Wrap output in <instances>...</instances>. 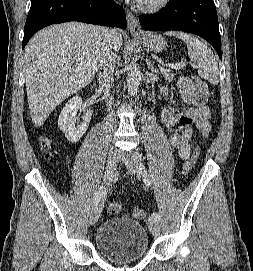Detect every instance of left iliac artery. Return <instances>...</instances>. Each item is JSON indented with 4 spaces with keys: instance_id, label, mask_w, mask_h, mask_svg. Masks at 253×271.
<instances>
[{
    "instance_id": "left-iliac-artery-1",
    "label": "left iliac artery",
    "mask_w": 253,
    "mask_h": 271,
    "mask_svg": "<svg viewBox=\"0 0 253 271\" xmlns=\"http://www.w3.org/2000/svg\"><path fill=\"white\" fill-rule=\"evenodd\" d=\"M139 172L142 174L143 181L146 184V186H150L151 179H150V176H149L145 166L143 165V163H140V165H139ZM152 217H154L157 221H159V219H160V216L157 212H153Z\"/></svg>"
}]
</instances>
